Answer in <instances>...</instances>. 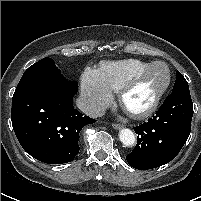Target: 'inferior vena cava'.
I'll use <instances>...</instances> for the list:
<instances>
[{
	"mask_svg": "<svg viewBox=\"0 0 201 201\" xmlns=\"http://www.w3.org/2000/svg\"><path fill=\"white\" fill-rule=\"evenodd\" d=\"M76 105L83 113L92 118L101 117L105 113V108L101 104L86 97H79Z\"/></svg>",
	"mask_w": 201,
	"mask_h": 201,
	"instance_id": "1",
	"label": "inferior vena cava"
}]
</instances>
